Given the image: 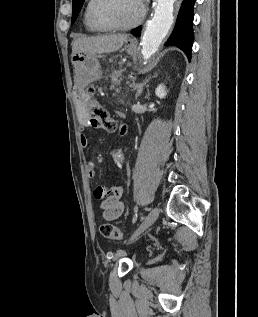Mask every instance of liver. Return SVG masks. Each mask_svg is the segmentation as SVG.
<instances>
[{"mask_svg":"<svg viewBox=\"0 0 258 317\" xmlns=\"http://www.w3.org/2000/svg\"><path fill=\"white\" fill-rule=\"evenodd\" d=\"M129 34H100V36H79L72 42V54L75 52H92V54H101V52H115L119 50Z\"/></svg>","mask_w":258,"mask_h":317,"instance_id":"obj_1","label":"liver"}]
</instances>
